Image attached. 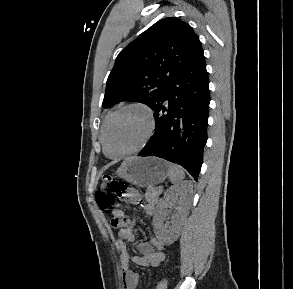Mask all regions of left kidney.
<instances>
[{
  "label": "left kidney",
  "mask_w": 293,
  "mask_h": 289,
  "mask_svg": "<svg viewBox=\"0 0 293 289\" xmlns=\"http://www.w3.org/2000/svg\"><path fill=\"white\" fill-rule=\"evenodd\" d=\"M190 183L184 182L170 187L164 194L158 211L153 218V227L156 237L166 245L172 244L179 237L182 222L186 213L187 196L190 191ZM174 200L179 203L178 212L172 217L171 225H163L164 209L172 204Z\"/></svg>",
  "instance_id": "left-kidney-1"
}]
</instances>
